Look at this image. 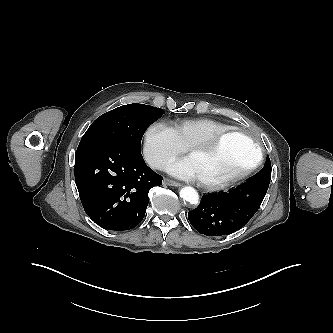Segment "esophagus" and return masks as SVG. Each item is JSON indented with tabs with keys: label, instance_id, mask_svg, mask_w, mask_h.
<instances>
[{
	"label": "esophagus",
	"instance_id": "esophagus-1",
	"mask_svg": "<svg viewBox=\"0 0 333 333\" xmlns=\"http://www.w3.org/2000/svg\"><path fill=\"white\" fill-rule=\"evenodd\" d=\"M163 183L166 184V185H169V186H174V187H180L181 186V183H179L177 181H174V180H171V179H168V178H165L163 180Z\"/></svg>",
	"mask_w": 333,
	"mask_h": 333
}]
</instances>
